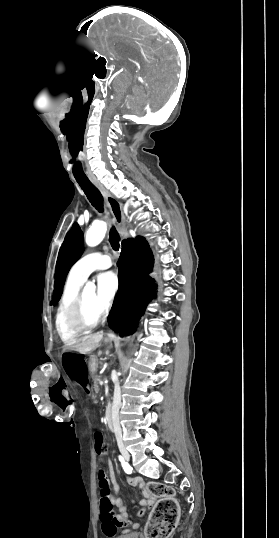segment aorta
Segmentation results:
<instances>
[{
  "instance_id": "obj_1",
  "label": "aorta",
  "mask_w": 279,
  "mask_h": 538,
  "mask_svg": "<svg viewBox=\"0 0 279 538\" xmlns=\"http://www.w3.org/2000/svg\"><path fill=\"white\" fill-rule=\"evenodd\" d=\"M107 231V224L104 221H96L86 232L85 242L88 246L94 247L98 245L104 238ZM95 284L87 282L84 287V295H91L95 291Z\"/></svg>"
}]
</instances>
